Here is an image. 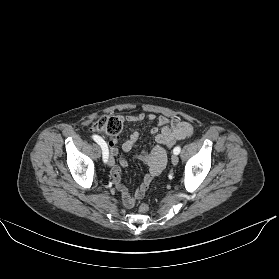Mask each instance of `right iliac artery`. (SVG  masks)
<instances>
[{"instance_id": "82829eb1", "label": "right iliac artery", "mask_w": 279, "mask_h": 279, "mask_svg": "<svg viewBox=\"0 0 279 279\" xmlns=\"http://www.w3.org/2000/svg\"><path fill=\"white\" fill-rule=\"evenodd\" d=\"M92 138L95 142H97L101 146L103 151V161L107 162L109 156V150L106 142L98 135H93Z\"/></svg>"}]
</instances>
